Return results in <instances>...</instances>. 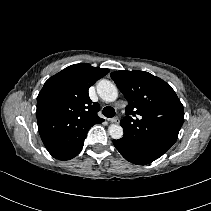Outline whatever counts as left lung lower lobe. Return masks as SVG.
I'll list each match as a JSON object with an SVG mask.
<instances>
[{
	"mask_svg": "<svg viewBox=\"0 0 211 211\" xmlns=\"http://www.w3.org/2000/svg\"><path fill=\"white\" fill-rule=\"evenodd\" d=\"M113 144L120 154L131 163L137 165H146L155 160L145 155L125 137L118 140H113Z\"/></svg>",
	"mask_w": 211,
	"mask_h": 211,
	"instance_id": "1",
	"label": "left lung lower lobe"
}]
</instances>
